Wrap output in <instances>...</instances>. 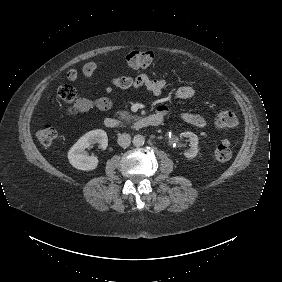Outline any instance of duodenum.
<instances>
[{
    "label": "duodenum",
    "mask_w": 282,
    "mask_h": 282,
    "mask_svg": "<svg viewBox=\"0 0 282 282\" xmlns=\"http://www.w3.org/2000/svg\"><path fill=\"white\" fill-rule=\"evenodd\" d=\"M163 121V117L158 114L142 116L134 120L132 123L124 126L122 122L116 117H106L103 120V124L105 127L110 129H121L126 127L131 130L142 129L146 127L159 125Z\"/></svg>",
    "instance_id": "obj_1"
}]
</instances>
